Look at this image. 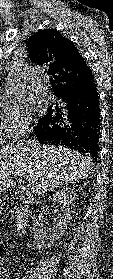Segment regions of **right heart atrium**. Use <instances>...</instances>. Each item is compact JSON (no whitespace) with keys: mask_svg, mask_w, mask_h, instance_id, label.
<instances>
[{"mask_svg":"<svg viewBox=\"0 0 113 279\" xmlns=\"http://www.w3.org/2000/svg\"><path fill=\"white\" fill-rule=\"evenodd\" d=\"M0 107L1 127L6 136L17 140L31 131L34 114L29 106L5 97L0 101Z\"/></svg>","mask_w":113,"mask_h":279,"instance_id":"d8ad5b80","label":"right heart atrium"}]
</instances>
